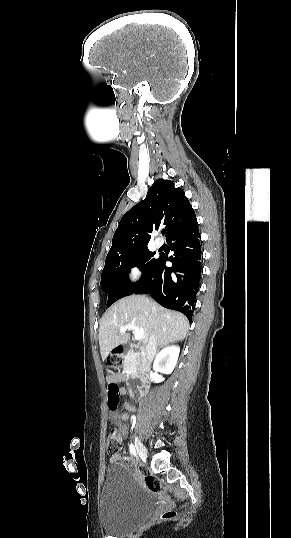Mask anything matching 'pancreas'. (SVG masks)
Returning a JSON list of instances; mask_svg holds the SVG:
<instances>
[{
  "mask_svg": "<svg viewBox=\"0 0 291 538\" xmlns=\"http://www.w3.org/2000/svg\"><path fill=\"white\" fill-rule=\"evenodd\" d=\"M133 358H134V353H133V352L128 353V354L124 357V364H125V365L130 364L131 361L133 360ZM136 363H137V360H136Z\"/></svg>",
  "mask_w": 291,
  "mask_h": 538,
  "instance_id": "pancreas-1",
  "label": "pancreas"
}]
</instances>
